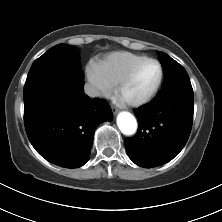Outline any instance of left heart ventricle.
Here are the masks:
<instances>
[{
  "mask_svg": "<svg viewBox=\"0 0 222 222\" xmlns=\"http://www.w3.org/2000/svg\"><path fill=\"white\" fill-rule=\"evenodd\" d=\"M159 76L158 66L153 62L145 63L136 73L131 83L123 90L124 101H136L144 98L155 86Z\"/></svg>",
  "mask_w": 222,
  "mask_h": 222,
  "instance_id": "left-heart-ventricle-1",
  "label": "left heart ventricle"
}]
</instances>
